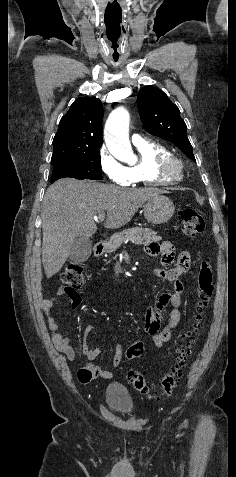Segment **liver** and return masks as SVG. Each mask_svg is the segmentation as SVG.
<instances>
[{"label":"liver","mask_w":236,"mask_h":477,"mask_svg":"<svg viewBox=\"0 0 236 477\" xmlns=\"http://www.w3.org/2000/svg\"><path fill=\"white\" fill-rule=\"evenodd\" d=\"M166 191L122 188L96 182L61 179L46 191L41 212L42 263L47 278L60 271L77 237L90 238L97 230L94 216L107 212L105 228H120L131 221L149 199Z\"/></svg>","instance_id":"6515ba94"}]
</instances>
